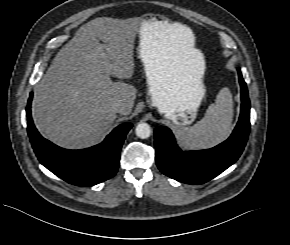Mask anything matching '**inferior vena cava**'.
I'll return each instance as SVG.
<instances>
[{
	"mask_svg": "<svg viewBox=\"0 0 290 245\" xmlns=\"http://www.w3.org/2000/svg\"><path fill=\"white\" fill-rule=\"evenodd\" d=\"M112 109L115 112H121L124 109V104L121 101H116L112 104Z\"/></svg>",
	"mask_w": 290,
	"mask_h": 245,
	"instance_id": "602c4592",
	"label": "inferior vena cava"
}]
</instances>
